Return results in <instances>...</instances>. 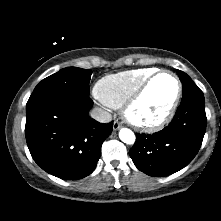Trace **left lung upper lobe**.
<instances>
[{
    "instance_id": "5c2ea615",
    "label": "left lung upper lobe",
    "mask_w": 221,
    "mask_h": 221,
    "mask_svg": "<svg viewBox=\"0 0 221 221\" xmlns=\"http://www.w3.org/2000/svg\"><path fill=\"white\" fill-rule=\"evenodd\" d=\"M177 73L183 87V97L181 102L187 101L189 99L204 100L203 92L192 81V79L183 71L178 70Z\"/></svg>"
}]
</instances>
